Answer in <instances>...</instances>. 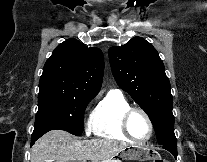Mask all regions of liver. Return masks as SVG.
<instances>
[{"label":"liver","instance_id":"6515ba94","mask_svg":"<svg viewBox=\"0 0 207 162\" xmlns=\"http://www.w3.org/2000/svg\"><path fill=\"white\" fill-rule=\"evenodd\" d=\"M126 147L111 139L78 140L66 131L53 130L35 142L31 162H111Z\"/></svg>","mask_w":207,"mask_h":162}]
</instances>
